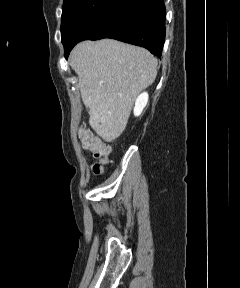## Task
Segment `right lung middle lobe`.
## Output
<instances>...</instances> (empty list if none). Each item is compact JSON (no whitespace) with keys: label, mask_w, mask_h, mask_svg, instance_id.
Instances as JSON below:
<instances>
[{"label":"right lung middle lobe","mask_w":240,"mask_h":288,"mask_svg":"<svg viewBox=\"0 0 240 288\" xmlns=\"http://www.w3.org/2000/svg\"><path fill=\"white\" fill-rule=\"evenodd\" d=\"M116 0H64L61 40L64 49L80 41L85 31Z\"/></svg>","instance_id":"dd1d6c3e"}]
</instances>
